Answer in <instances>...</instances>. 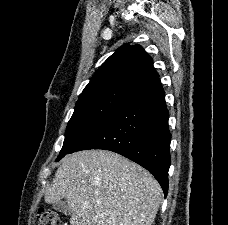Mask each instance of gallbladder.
Returning a JSON list of instances; mask_svg holds the SVG:
<instances>
[{
    "label": "gallbladder",
    "mask_w": 228,
    "mask_h": 225,
    "mask_svg": "<svg viewBox=\"0 0 228 225\" xmlns=\"http://www.w3.org/2000/svg\"><path fill=\"white\" fill-rule=\"evenodd\" d=\"M53 209L55 211H60V213H65V215H70L67 203L64 201H59V203H53Z\"/></svg>",
    "instance_id": "gallbladder-1"
}]
</instances>
